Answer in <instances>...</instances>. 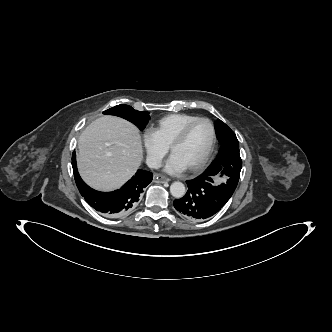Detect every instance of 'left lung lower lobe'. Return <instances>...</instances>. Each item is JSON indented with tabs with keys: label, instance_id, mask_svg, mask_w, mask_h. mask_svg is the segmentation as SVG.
Returning <instances> with one entry per match:
<instances>
[{
	"label": "left lung lower lobe",
	"instance_id": "0a47b994",
	"mask_svg": "<svg viewBox=\"0 0 332 332\" xmlns=\"http://www.w3.org/2000/svg\"><path fill=\"white\" fill-rule=\"evenodd\" d=\"M240 156L239 148L234 149ZM188 191L184 197L174 200V207L187 218L203 221L215 215L231 196L221 192L200 175L187 181Z\"/></svg>",
	"mask_w": 332,
	"mask_h": 332
}]
</instances>
